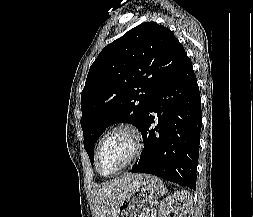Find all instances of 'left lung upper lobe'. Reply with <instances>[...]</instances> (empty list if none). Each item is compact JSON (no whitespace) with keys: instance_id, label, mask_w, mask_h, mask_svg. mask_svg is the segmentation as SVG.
<instances>
[{"instance_id":"5c2ea615","label":"left lung upper lobe","mask_w":253,"mask_h":217,"mask_svg":"<svg viewBox=\"0 0 253 217\" xmlns=\"http://www.w3.org/2000/svg\"><path fill=\"white\" fill-rule=\"evenodd\" d=\"M186 55L166 27L145 22L107 45L91 65L81 93V127L91 164L93 147L113 123L138 128L161 85Z\"/></svg>"}]
</instances>
